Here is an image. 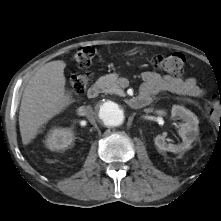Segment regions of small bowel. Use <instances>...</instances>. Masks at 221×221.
Instances as JSON below:
<instances>
[{"label": "small bowel", "instance_id": "1", "mask_svg": "<svg viewBox=\"0 0 221 221\" xmlns=\"http://www.w3.org/2000/svg\"><path fill=\"white\" fill-rule=\"evenodd\" d=\"M142 80L141 94L156 95L167 91L195 98H201L205 94L204 89L192 77L160 75L146 71L142 74Z\"/></svg>", "mask_w": 221, "mask_h": 221}]
</instances>
